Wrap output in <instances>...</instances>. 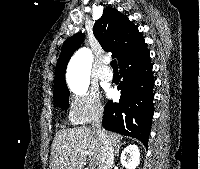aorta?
Wrapping results in <instances>:
<instances>
[{"mask_svg": "<svg viewBox=\"0 0 200 169\" xmlns=\"http://www.w3.org/2000/svg\"><path fill=\"white\" fill-rule=\"evenodd\" d=\"M92 52L88 48L79 49L71 58L67 67V82L76 94L87 91L92 67Z\"/></svg>", "mask_w": 200, "mask_h": 169, "instance_id": "762f6f07", "label": "aorta"}]
</instances>
